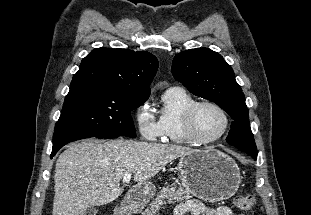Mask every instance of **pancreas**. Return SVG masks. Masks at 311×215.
Listing matches in <instances>:
<instances>
[{
    "label": "pancreas",
    "instance_id": "1",
    "mask_svg": "<svg viewBox=\"0 0 311 215\" xmlns=\"http://www.w3.org/2000/svg\"><path fill=\"white\" fill-rule=\"evenodd\" d=\"M189 198H191V196L183 188L176 190L175 187H163L156 198L153 199L145 211H143L142 215H156L159 213L162 206L167 203L171 204Z\"/></svg>",
    "mask_w": 311,
    "mask_h": 215
}]
</instances>
